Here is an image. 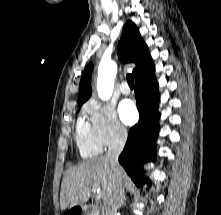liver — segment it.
<instances>
[{
    "mask_svg": "<svg viewBox=\"0 0 221 215\" xmlns=\"http://www.w3.org/2000/svg\"><path fill=\"white\" fill-rule=\"evenodd\" d=\"M125 183L127 176L122 169ZM114 178L110 163L106 157H98L82 162L64 175L60 191V209L82 206L86 203L92 190L100 189L99 196L104 203L111 197L114 189Z\"/></svg>",
    "mask_w": 221,
    "mask_h": 215,
    "instance_id": "1",
    "label": "liver"
}]
</instances>
